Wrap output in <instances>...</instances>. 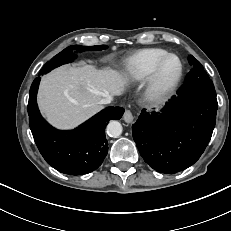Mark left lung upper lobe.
<instances>
[{"instance_id":"1","label":"left lung upper lobe","mask_w":231,"mask_h":231,"mask_svg":"<svg viewBox=\"0 0 231 231\" xmlns=\"http://www.w3.org/2000/svg\"><path fill=\"white\" fill-rule=\"evenodd\" d=\"M188 60L192 65V69L187 75L184 85L179 90L181 92L200 91L216 95L214 85L200 62L197 61L192 55L188 57Z\"/></svg>"}]
</instances>
